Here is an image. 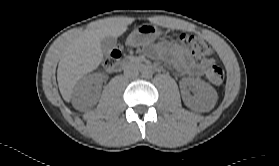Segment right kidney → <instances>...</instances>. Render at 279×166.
Returning a JSON list of instances; mask_svg holds the SVG:
<instances>
[{
	"label": "right kidney",
	"mask_w": 279,
	"mask_h": 166,
	"mask_svg": "<svg viewBox=\"0 0 279 166\" xmlns=\"http://www.w3.org/2000/svg\"><path fill=\"white\" fill-rule=\"evenodd\" d=\"M100 76H88L81 79L74 89V97L82 106H86L89 101L95 98L96 92L101 87Z\"/></svg>",
	"instance_id": "1"
}]
</instances>
